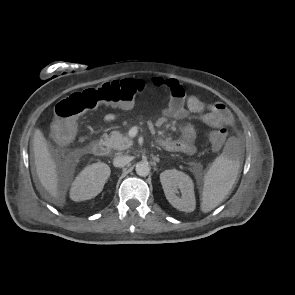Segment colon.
Instances as JSON below:
<instances>
[{
	"label": "colon",
	"instance_id": "obj_1",
	"mask_svg": "<svg viewBox=\"0 0 295 295\" xmlns=\"http://www.w3.org/2000/svg\"><path fill=\"white\" fill-rule=\"evenodd\" d=\"M144 90L145 83L142 80L127 78L72 93L56 106V118L52 125L53 138L60 144L70 142L76 132L77 119L85 112L103 105L129 107ZM226 138L227 132L224 129H217L209 134V140L216 149L224 145Z\"/></svg>",
	"mask_w": 295,
	"mask_h": 295
}]
</instances>
